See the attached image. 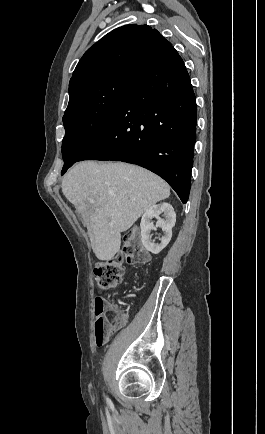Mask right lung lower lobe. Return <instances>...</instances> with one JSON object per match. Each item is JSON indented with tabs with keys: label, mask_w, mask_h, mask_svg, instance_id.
<instances>
[{
	"label": "right lung lower lobe",
	"mask_w": 265,
	"mask_h": 434,
	"mask_svg": "<svg viewBox=\"0 0 265 434\" xmlns=\"http://www.w3.org/2000/svg\"><path fill=\"white\" fill-rule=\"evenodd\" d=\"M197 105L190 76L172 46L134 77L109 126L78 159L142 166L189 197Z\"/></svg>",
	"instance_id": "1"
}]
</instances>
